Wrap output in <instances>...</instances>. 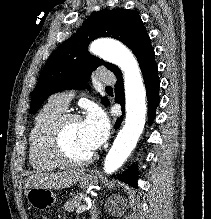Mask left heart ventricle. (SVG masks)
Here are the masks:
<instances>
[{"instance_id":"1","label":"left heart ventricle","mask_w":211,"mask_h":219,"mask_svg":"<svg viewBox=\"0 0 211 219\" xmlns=\"http://www.w3.org/2000/svg\"><path fill=\"white\" fill-rule=\"evenodd\" d=\"M64 143L69 154L76 158H84L93 152L83 134L81 121H72L68 125Z\"/></svg>"}]
</instances>
